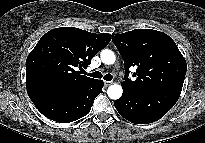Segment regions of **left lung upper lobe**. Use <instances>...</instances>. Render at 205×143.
Segmentation results:
<instances>
[{"label": "left lung upper lobe", "mask_w": 205, "mask_h": 143, "mask_svg": "<svg viewBox=\"0 0 205 143\" xmlns=\"http://www.w3.org/2000/svg\"><path fill=\"white\" fill-rule=\"evenodd\" d=\"M125 67H136L135 81L125 78L122 87L132 91H145L167 86H183L186 61L175 42L165 33L152 29H134L113 34Z\"/></svg>", "instance_id": "1"}]
</instances>
